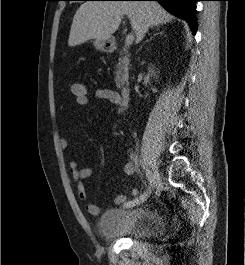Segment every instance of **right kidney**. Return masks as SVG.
Masks as SVG:
<instances>
[{
    "label": "right kidney",
    "mask_w": 245,
    "mask_h": 265,
    "mask_svg": "<svg viewBox=\"0 0 245 265\" xmlns=\"http://www.w3.org/2000/svg\"><path fill=\"white\" fill-rule=\"evenodd\" d=\"M149 73H151V75H155L154 69L153 68H149Z\"/></svg>",
    "instance_id": "obj_1"
}]
</instances>
